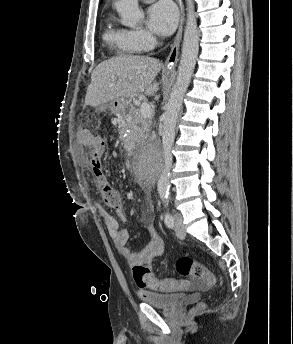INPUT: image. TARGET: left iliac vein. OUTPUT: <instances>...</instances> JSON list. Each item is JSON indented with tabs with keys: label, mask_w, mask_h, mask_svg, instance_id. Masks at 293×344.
<instances>
[{
	"label": "left iliac vein",
	"mask_w": 293,
	"mask_h": 344,
	"mask_svg": "<svg viewBox=\"0 0 293 344\" xmlns=\"http://www.w3.org/2000/svg\"><path fill=\"white\" fill-rule=\"evenodd\" d=\"M174 230H175V235L178 238H184L186 236V231L183 225V217L178 212L174 214Z\"/></svg>",
	"instance_id": "1"
}]
</instances>
